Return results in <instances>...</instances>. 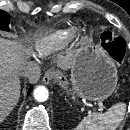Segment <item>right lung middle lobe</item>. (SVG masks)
<instances>
[{"instance_id":"dd1d6c3e","label":"right lung middle lobe","mask_w":130,"mask_h":130,"mask_svg":"<svg viewBox=\"0 0 130 130\" xmlns=\"http://www.w3.org/2000/svg\"><path fill=\"white\" fill-rule=\"evenodd\" d=\"M10 15L0 10V30L9 31Z\"/></svg>"}]
</instances>
